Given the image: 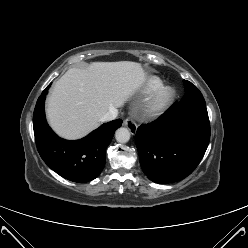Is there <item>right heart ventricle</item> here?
I'll return each instance as SVG.
<instances>
[{"label": "right heart ventricle", "mask_w": 248, "mask_h": 248, "mask_svg": "<svg viewBox=\"0 0 248 248\" xmlns=\"http://www.w3.org/2000/svg\"><path fill=\"white\" fill-rule=\"evenodd\" d=\"M162 84V81L158 77H150L145 85L146 92H152L159 88Z\"/></svg>", "instance_id": "e07e8e85"}]
</instances>
